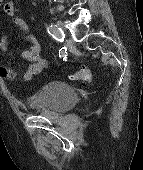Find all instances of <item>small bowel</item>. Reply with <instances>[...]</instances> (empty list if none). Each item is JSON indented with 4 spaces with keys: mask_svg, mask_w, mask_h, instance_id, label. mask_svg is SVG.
Wrapping results in <instances>:
<instances>
[{
    "mask_svg": "<svg viewBox=\"0 0 143 170\" xmlns=\"http://www.w3.org/2000/svg\"><path fill=\"white\" fill-rule=\"evenodd\" d=\"M2 12L7 16H14L15 7L14 3L11 1L1 2ZM14 25L23 32L28 30V25L24 19L20 17H15L13 19ZM30 42L28 48L21 51V57L30 62L25 74L24 80L29 81L35 75L40 74L47 66L46 61L41 56V47L37 39L33 36H27ZM10 43L9 37H2L0 39V52H5L8 49ZM0 76L7 80H12L15 78V72L11 68L4 67L0 64Z\"/></svg>",
    "mask_w": 143,
    "mask_h": 170,
    "instance_id": "small-bowel-1",
    "label": "small bowel"
}]
</instances>
